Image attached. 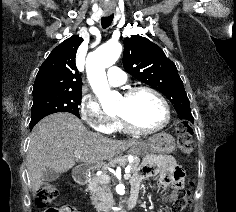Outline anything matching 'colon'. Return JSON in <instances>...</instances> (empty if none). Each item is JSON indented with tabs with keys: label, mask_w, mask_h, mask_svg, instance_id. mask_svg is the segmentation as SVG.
I'll use <instances>...</instances> for the list:
<instances>
[{
	"label": "colon",
	"mask_w": 236,
	"mask_h": 212,
	"mask_svg": "<svg viewBox=\"0 0 236 212\" xmlns=\"http://www.w3.org/2000/svg\"><path fill=\"white\" fill-rule=\"evenodd\" d=\"M176 135L181 153L189 156L193 153L194 143L192 140V129L184 120H179L176 124ZM182 184L179 181L170 180L171 192L168 200L172 204V212H181L192 206L191 192H181ZM58 196V188L54 184H45L40 190L36 199V204L40 208L49 206ZM46 212H70L66 206L52 207Z\"/></svg>",
	"instance_id": "colon-1"
}]
</instances>
